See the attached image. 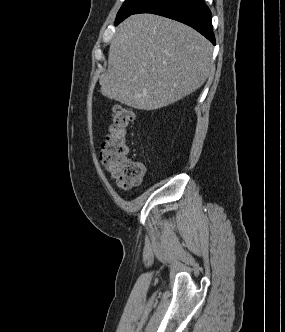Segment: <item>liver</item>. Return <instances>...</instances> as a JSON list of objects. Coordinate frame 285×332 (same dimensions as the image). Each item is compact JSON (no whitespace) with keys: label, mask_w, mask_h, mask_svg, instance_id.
I'll return each instance as SVG.
<instances>
[{"label":"liver","mask_w":285,"mask_h":332,"mask_svg":"<svg viewBox=\"0 0 285 332\" xmlns=\"http://www.w3.org/2000/svg\"><path fill=\"white\" fill-rule=\"evenodd\" d=\"M213 46L193 28L153 14L128 17L109 48L101 94L139 110L173 104L213 72Z\"/></svg>","instance_id":"liver-1"}]
</instances>
